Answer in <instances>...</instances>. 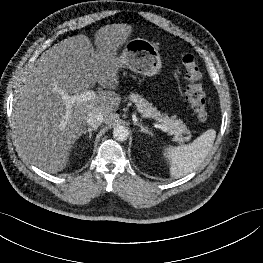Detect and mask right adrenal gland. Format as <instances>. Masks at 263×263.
Returning <instances> with one entry per match:
<instances>
[{"instance_id": "obj_1", "label": "right adrenal gland", "mask_w": 263, "mask_h": 263, "mask_svg": "<svg viewBox=\"0 0 263 263\" xmlns=\"http://www.w3.org/2000/svg\"><path fill=\"white\" fill-rule=\"evenodd\" d=\"M97 130V128H88L87 130L83 131V135L88 134L89 135V140H91L92 137V131Z\"/></svg>"}]
</instances>
